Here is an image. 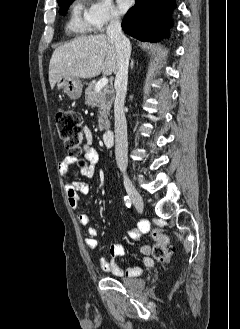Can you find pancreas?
I'll return each instance as SVG.
<instances>
[{"mask_svg":"<svg viewBox=\"0 0 240 329\" xmlns=\"http://www.w3.org/2000/svg\"><path fill=\"white\" fill-rule=\"evenodd\" d=\"M85 100L88 106H91L92 108L98 107L99 109V129L101 131L108 130L110 128L108 116L113 102L111 88L104 87L101 91L96 92L95 84L90 83L85 90Z\"/></svg>","mask_w":240,"mask_h":329,"instance_id":"1","label":"pancreas"}]
</instances>
